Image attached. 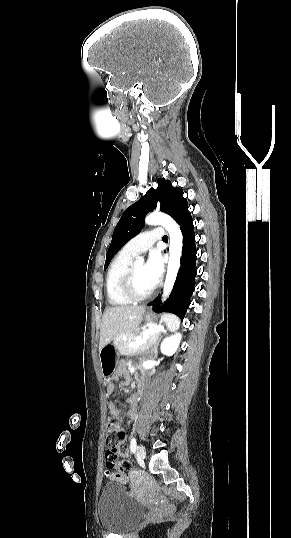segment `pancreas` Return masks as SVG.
<instances>
[{
    "label": "pancreas",
    "instance_id": "obj_1",
    "mask_svg": "<svg viewBox=\"0 0 291 538\" xmlns=\"http://www.w3.org/2000/svg\"><path fill=\"white\" fill-rule=\"evenodd\" d=\"M145 331H146V329L142 330L141 332L127 333L125 335L127 337V340H124L123 336H120V338L117 341H115V343H114V345H115L116 349L118 350V352L121 355H130V354H134V353L142 352V351L146 350L149 346H151V344H153V342L155 340L158 339V337L160 335L159 333L150 334L148 336L147 342L144 343L141 346H138V347H129L128 346V343H129L128 341L129 340H135L138 336H143Z\"/></svg>",
    "mask_w": 291,
    "mask_h": 538
}]
</instances>
